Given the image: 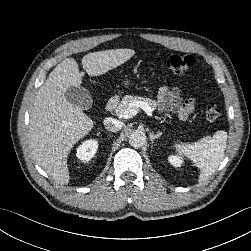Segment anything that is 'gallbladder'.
I'll use <instances>...</instances> for the list:
<instances>
[{"label": "gallbladder", "mask_w": 251, "mask_h": 251, "mask_svg": "<svg viewBox=\"0 0 251 251\" xmlns=\"http://www.w3.org/2000/svg\"><path fill=\"white\" fill-rule=\"evenodd\" d=\"M65 98L68 102L76 105L82 110L90 109L93 104L92 97L88 90L80 86L68 88L65 92Z\"/></svg>", "instance_id": "obj_1"}]
</instances>
